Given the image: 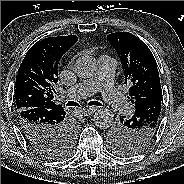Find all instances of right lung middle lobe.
Returning a JSON list of instances; mask_svg holds the SVG:
<instances>
[{"label": "right lung middle lobe", "instance_id": "right-lung-middle-lobe-1", "mask_svg": "<svg viewBox=\"0 0 184 184\" xmlns=\"http://www.w3.org/2000/svg\"><path fill=\"white\" fill-rule=\"evenodd\" d=\"M74 128L70 127L69 130H67V133L65 134L64 140L61 143L60 146L55 147V148H49V149H43L39 151V153L50 159H60V158H65L67 157L73 146H74Z\"/></svg>", "mask_w": 184, "mask_h": 184}]
</instances>
